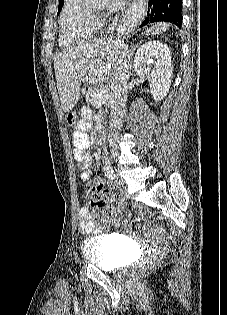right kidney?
<instances>
[{
    "label": "right kidney",
    "instance_id": "ca27d5eb",
    "mask_svg": "<svg viewBox=\"0 0 227 315\" xmlns=\"http://www.w3.org/2000/svg\"><path fill=\"white\" fill-rule=\"evenodd\" d=\"M134 71L139 76L147 77L154 101H161L170 89L173 75L171 53L167 45L160 41L143 44L135 54Z\"/></svg>",
    "mask_w": 227,
    "mask_h": 315
}]
</instances>
